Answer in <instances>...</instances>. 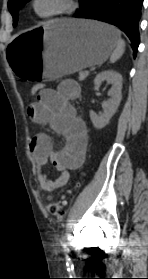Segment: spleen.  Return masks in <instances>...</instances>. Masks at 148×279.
I'll use <instances>...</instances> for the list:
<instances>
[{
    "label": "spleen",
    "mask_w": 148,
    "mask_h": 279,
    "mask_svg": "<svg viewBox=\"0 0 148 279\" xmlns=\"http://www.w3.org/2000/svg\"><path fill=\"white\" fill-rule=\"evenodd\" d=\"M124 51H125V42H124V40L119 38L118 41H117L116 47L111 54L110 62L114 63L118 59H120L121 56L123 55Z\"/></svg>",
    "instance_id": "1"
}]
</instances>
